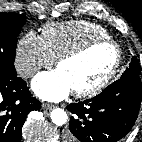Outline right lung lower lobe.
Listing matches in <instances>:
<instances>
[{
  "mask_svg": "<svg viewBox=\"0 0 142 142\" xmlns=\"http://www.w3.org/2000/svg\"><path fill=\"white\" fill-rule=\"evenodd\" d=\"M40 106L20 77L0 78V142H21L28 113Z\"/></svg>",
  "mask_w": 142,
  "mask_h": 142,
  "instance_id": "98d812e1",
  "label": "right lung lower lobe"
}]
</instances>
